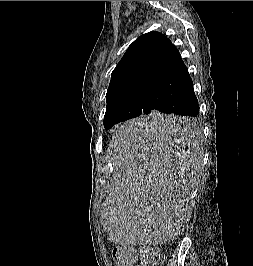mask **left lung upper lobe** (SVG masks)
I'll list each match as a JSON object with an SVG mask.
<instances>
[{
  "mask_svg": "<svg viewBox=\"0 0 253 266\" xmlns=\"http://www.w3.org/2000/svg\"><path fill=\"white\" fill-rule=\"evenodd\" d=\"M170 45L165 35L152 31L142 34L128 47L112 72L106 94L105 129L142 115L150 81Z\"/></svg>",
  "mask_w": 253,
  "mask_h": 266,
  "instance_id": "5c2ea615",
  "label": "left lung upper lobe"
}]
</instances>
